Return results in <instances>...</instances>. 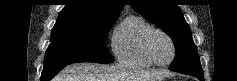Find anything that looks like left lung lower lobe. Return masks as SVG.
Returning <instances> with one entry per match:
<instances>
[{
    "label": "left lung lower lobe",
    "instance_id": "left-lung-lower-lobe-1",
    "mask_svg": "<svg viewBox=\"0 0 237 81\" xmlns=\"http://www.w3.org/2000/svg\"><path fill=\"white\" fill-rule=\"evenodd\" d=\"M192 76H195V77L198 78L200 81H204V75L193 74Z\"/></svg>",
    "mask_w": 237,
    "mask_h": 81
}]
</instances>
